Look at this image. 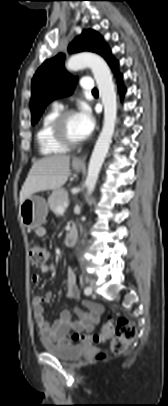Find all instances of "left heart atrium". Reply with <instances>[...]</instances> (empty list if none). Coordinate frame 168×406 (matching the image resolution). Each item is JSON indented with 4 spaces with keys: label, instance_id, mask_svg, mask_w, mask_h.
Masks as SVG:
<instances>
[{
    "label": "left heart atrium",
    "instance_id": "obj_1",
    "mask_svg": "<svg viewBox=\"0 0 168 406\" xmlns=\"http://www.w3.org/2000/svg\"><path fill=\"white\" fill-rule=\"evenodd\" d=\"M75 115L83 138H87L91 135L95 127V120L91 111L88 107L82 106Z\"/></svg>",
    "mask_w": 168,
    "mask_h": 406
}]
</instances>
